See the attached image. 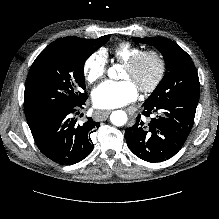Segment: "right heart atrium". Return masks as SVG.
<instances>
[{
  "instance_id": "d8ad5b80",
  "label": "right heart atrium",
  "mask_w": 219,
  "mask_h": 219,
  "mask_svg": "<svg viewBox=\"0 0 219 219\" xmlns=\"http://www.w3.org/2000/svg\"><path fill=\"white\" fill-rule=\"evenodd\" d=\"M107 70V57L103 50L92 53L84 63V76L87 82L95 83L101 80Z\"/></svg>"
}]
</instances>
